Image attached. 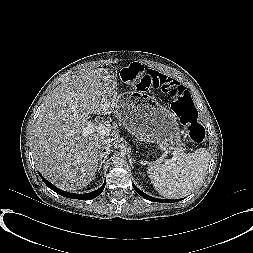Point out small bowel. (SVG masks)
<instances>
[{"mask_svg": "<svg viewBox=\"0 0 253 253\" xmlns=\"http://www.w3.org/2000/svg\"><path fill=\"white\" fill-rule=\"evenodd\" d=\"M177 85H180L178 81L156 70L147 71L145 79L136 84V86L141 89L157 90H165Z\"/></svg>", "mask_w": 253, "mask_h": 253, "instance_id": "c3829d8e", "label": "small bowel"}]
</instances>
